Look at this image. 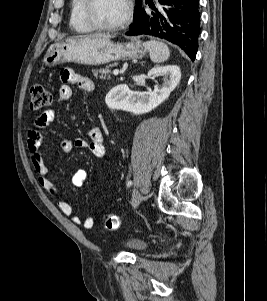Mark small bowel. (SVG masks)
<instances>
[{"instance_id": "obj_1", "label": "small bowel", "mask_w": 267, "mask_h": 301, "mask_svg": "<svg viewBox=\"0 0 267 301\" xmlns=\"http://www.w3.org/2000/svg\"><path fill=\"white\" fill-rule=\"evenodd\" d=\"M61 80L63 85L59 89V98L61 101H67L72 97V89L70 85H77L86 93L93 92L94 82L85 76L75 73L72 70L65 69L61 72ZM55 118L53 110L49 109L42 112L36 119L34 127L28 131L27 143L30 151L31 161L34 170L38 174V181L41 187L52 196H57L59 193L58 187L47 177L48 169L43 161L41 146L48 141V138L42 133V130L50 126ZM89 140L84 138H76L75 140H62L60 148L63 152L69 153L74 148H87L93 155L98 158L105 156L104 135L100 128L93 127L89 130ZM87 172L84 169L77 170L71 183L74 187H81L87 179ZM60 211L75 224H82L85 228L90 229L94 226V219L87 217L82 220L79 216L73 214L72 205L64 200L58 201Z\"/></svg>"}]
</instances>
